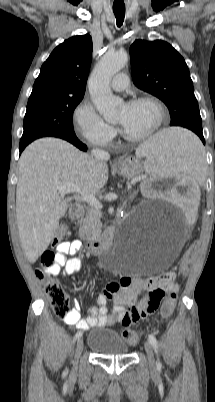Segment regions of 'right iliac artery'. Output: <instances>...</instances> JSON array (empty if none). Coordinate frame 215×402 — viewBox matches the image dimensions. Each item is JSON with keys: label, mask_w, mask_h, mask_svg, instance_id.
Segmentation results:
<instances>
[{"label": "right iliac artery", "mask_w": 215, "mask_h": 402, "mask_svg": "<svg viewBox=\"0 0 215 402\" xmlns=\"http://www.w3.org/2000/svg\"><path fill=\"white\" fill-rule=\"evenodd\" d=\"M81 336H82V332L81 331H78L76 334H75V337H74V342L76 341V340H78L79 338H81ZM67 370L64 372V374H67Z\"/></svg>", "instance_id": "82829eb1"}]
</instances>
